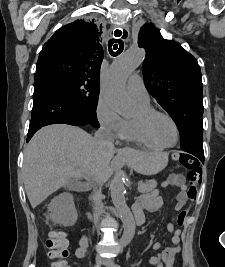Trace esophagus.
Returning a JSON list of instances; mask_svg holds the SVG:
<instances>
[{
  "mask_svg": "<svg viewBox=\"0 0 225 267\" xmlns=\"http://www.w3.org/2000/svg\"><path fill=\"white\" fill-rule=\"evenodd\" d=\"M117 29L122 31V35H121V36H123L124 31H125V33L127 34L126 38H128V36H129V32H128V29H127L126 26H122V27L115 28V29L113 30V37H116V35H115V34H116L115 31H116ZM123 29H124V30H123ZM124 39H125V38H124Z\"/></svg>",
  "mask_w": 225,
  "mask_h": 267,
  "instance_id": "esophagus-1",
  "label": "esophagus"
}]
</instances>
